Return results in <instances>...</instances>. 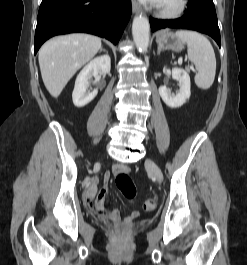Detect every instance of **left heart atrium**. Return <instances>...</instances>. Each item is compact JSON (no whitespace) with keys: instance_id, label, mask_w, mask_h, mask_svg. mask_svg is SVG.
Instances as JSON below:
<instances>
[{"instance_id":"obj_1","label":"left heart atrium","mask_w":247,"mask_h":265,"mask_svg":"<svg viewBox=\"0 0 247 265\" xmlns=\"http://www.w3.org/2000/svg\"><path fill=\"white\" fill-rule=\"evenodd\" d=\"M141 1L145 3H152V4H158L159 2H161V0H141Z\"/></svg>"}]
</instances>
